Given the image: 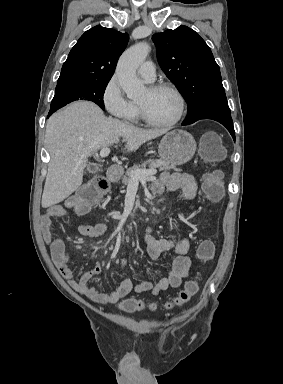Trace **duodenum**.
Listing matches in <instances>:
<instances>
[{
    "mask_svg": "<svg viewBox=\"0 0 283 384\" xmlns=\"http://www.w3.org/2000/svg\"><path fill=\"white\" fill-rule=\"evenodd\" d=\"M123 169L117 165H111L109 168V179L111 181H118L122 176Z\"/></svg>",
    "mask_w": 283,
    "mask_h": 384,
    "instance_id": "obj_1",
    "label": "duodenum"
}]
</instances>
